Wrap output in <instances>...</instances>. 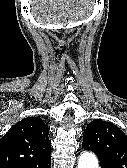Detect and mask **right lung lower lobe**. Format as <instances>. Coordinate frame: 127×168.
I'll return each instance as SVG.
<instances>
[{"instance_id": "98d812e1", "label": "right lung lower lobe", "mask_w": 127, "mask_h": 168, "mask_svg": "<svg viewBox=\"0 0 127 168\" xmlns=\"http://www.w3.org/2000/svg\"><path fill=\"white\" fill-rule=\"evenodd\" d=\"M50 163L51 162H49L47 165H45L41 168H50ZM11 168H34V167H32V166H15V167H11Z\"/></svg>"}]
</instances>
